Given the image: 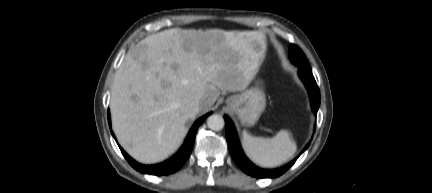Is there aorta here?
Instances as JSON below:
<instances>
[{
  "label": "aorta",
  "mask_w": 432,
  "mask_h": 193,
  "mask_svg": "<svg viewBox=\"0 0 432 193\" xmlns=\"http://www.w3.org/2000/svg\"><path fill=\"white\" fill-rule=\"evenodd\" d=\"M224 125V119L219 114H213L207 118V126L213 131H220L223 129Z\"/></svg>",
  "instance_id": "obj_1"
}]
</instances>
